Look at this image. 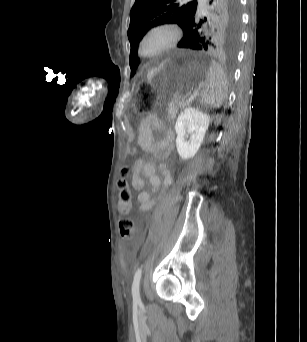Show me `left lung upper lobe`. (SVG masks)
I'll return each instance as SVG.
<instances>
[{
    "label": "left lung upper lobe",
    "mask_w": 307,
    "mask_h": 342,
    "mask_svg": "<svg viewBox=\"0 0 307 342\" xmlns=\"http://www.w3.org/2000/svg\"><path fill=\"white\" fill-rule=\"evenodd\" d=\"M206 16L197 0H136L130 12L128 38L131 44L130 68L134 74L139 58L138 44L146 32L161 24L176 23L184 31L179 48L222 50L234 54L239 41L238 0H211Z\"/></svg>",
    "instance_id": "obj_1"
}]
</instances>
